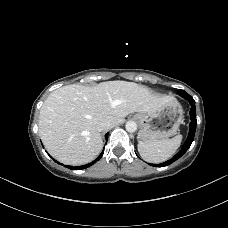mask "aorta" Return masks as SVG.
Returning <instances> with one entry per match:
<instances>
[{"label": "aorta", "instance_id": "1", "mask_svg": "<svg viewBox=\"0 0 228 228\" xmlns=\"http://www.w3.org/2000/svg\"><path fill=\"white\" fill-rule=\"evenodd\" d=\"M125 128L128 132L132 133L137 130V124L134 121L126 122Z\"/></svg>", "mask_w": 228, "mask_h": 228}]
</instances>
